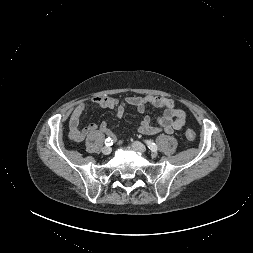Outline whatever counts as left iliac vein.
<instances>
[{
    "label": "left iliac vein",
    "mask_w": 253,
    "mask_h": 253,
    "mask_svg": "<svg viewBox=\"0 0 253 253\" xmlns=\"http://www.w3.org/2000/svg\"><path fill=\"white\" fill-rule=\"evenodd\" d=\"M132 148L135 151L140 152V153H145L146 150H147L146 147L142 143H140L138 141L132 143Z\"/></svg>",
    "instance_id": "1"
}]
</instances>
